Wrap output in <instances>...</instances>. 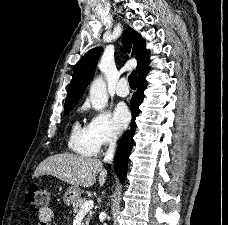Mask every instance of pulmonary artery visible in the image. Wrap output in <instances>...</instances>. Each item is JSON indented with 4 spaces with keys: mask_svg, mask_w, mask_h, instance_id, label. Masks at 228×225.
Returning <instances> with one entry per match:
<instances>
[{
    "mask_svg": "<svg viewBox=\"0 0 228 225\" xmlns=\"http://www.w3.org/2000/svg\"><path fill=\"white\" fill-rule=\"evenodd\" d=\"M116 94L119 96V97H126L128 96L129 94V87H128V84L126 82L125 79H122L117 87H116Z\"/></svg>",
    "mask_w": 228,
    "mask_h": 225,
    "instance_id": "pulmonary-artery-1",
    "label": "pulmonary artery"
}]
</instances>
